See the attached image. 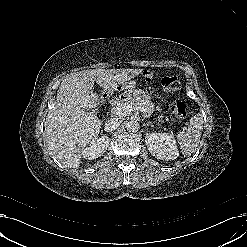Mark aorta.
Segmentation results:
<instances>
[{
	"label": "aorta",
	"mask_w": 247,
	"mask_h": 247,
	"mask_svg": "<svg viewBox=\"0 0 247 247\" xmlns=\"http://www.w3.org/2000/svg\"><path fill=\"white\" fill-rule=\"evenodd\" d=\"M126 128L129 131L137 132L139 129V123L136 120L129 121L126 124Z\"/></svg>",
	"instance_id": "obj_1"
}]
</instances>
